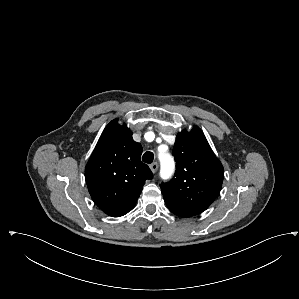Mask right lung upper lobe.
Masks as SVG:
<instances>
[{"label": "right lung upper lobe", "mask_w": 299, "mask_h": 299, "mask_svg": "<svg viewBox=\"0 0 299 299\" xmlns=\"http://www.w3.org/2000/svg\"><path fill=\"white\" fill-rule=\"evenodd\" d=\"M142 146L126 125L112 120L102 132L86 165L85 179L95 204L107 215L123 216L136 204L153 174L140 160Z\"/></svg>", "instance_id": "right-lung-upper-lobe-1"}]
</instances>
